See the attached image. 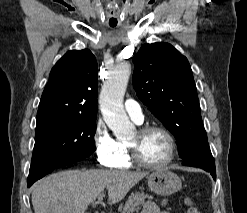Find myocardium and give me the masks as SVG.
<instances>
[{
    "instance_id": "1",
    "label": "myocardium",
    "mask_w": 247,
    "mask_h": 213,
    "mask_svg": "<svg viewBox=\"0 0 247 213\" xmlns=\"http://www.w3.org/2000/svg\"><path fill=\"white\" fill-rule=\"evenodd\" d=\"M151 131H159L162 134H164V136L166 137L168 141V145H169V151H168L167 158L163 162L158 163V164H152V163L146 162L140 157L137 146L133 143L127 142L126 146H127L129 158L132 163L142 168H146L150 170L164 169L168 167L175 158L176 150H177L176 140L173 134L167 128L161 125H157V124L143 125L139 127L136 132L139 136H143L146 133L151 132Z\"/></svg>"
}]
</instances>
